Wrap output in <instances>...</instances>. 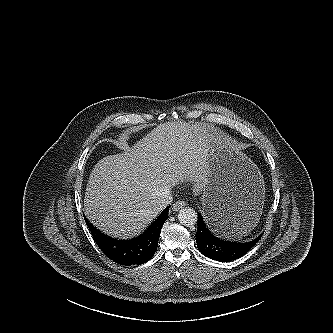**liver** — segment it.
I'll return each mask as SVG.
<instances>
[{
	"mask_svg": "<svg viewBox=\"0 0 333 333\" xmlns=\"http://www.w3.org/2000/svg\"><path fill=\"white\" fill-rule=\"evenodd\" d=\"M209 127L201 122L158 125L124 153L94 166L84 213L105 234L128 238L141 233L161 212L157 202L185 180L199 195L207 183Z\"/></svg>",
	"mask_w": 333,
	"mask_h": 333,
	"instance_id": "1",
	"label": "liver"
}]
</instances>
